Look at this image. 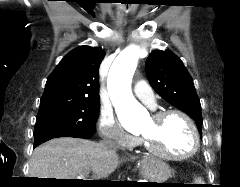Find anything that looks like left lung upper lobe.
I'll list each match as a JSON object with an SVG mask.
<instances>
[{"mask_svg": "<svg viewBox=\"0 0 240 187\" xmlns=\"http://www.w3.org/2000/svg\"><path fill=\"white\" fill-rule=\"evenodd\" d=\"M146 74L153 89L168 103L188 114L201 132V104L193 79L183 62L169 50H155L146 61Z\"/></svg>", "mask_w": 240, "mask_h": 187, "instance_id": "5c2ea615", "label": "left lung upper lobe"}]
</instances>
